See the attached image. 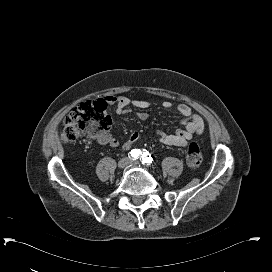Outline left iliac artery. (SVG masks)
<instances>
[{
	"label": "left iliac artery",
	"mask_w": 272,
	"mask_h": 272,
	"mask_svg": "<svg viewBox=\"0 0 272 272\" xmlns=\"http://www.w3.org/2000/svg\"><path fill=\"white\" fill-rule=\"evenodd\" d=\"M141 158H142V163H152L153 158L151 157V155L149 154V152L147 150H143V152H141Z\"/></svg>",
	"instance_id": "obj_1"
}]
</instances>
